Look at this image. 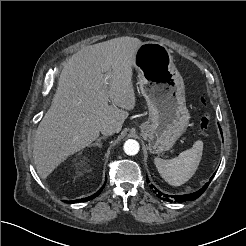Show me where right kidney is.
<instances>
[{
	"label": "right kidney",
	"mask_w": 246,
	"mask_h": 246,
	"mask_svg": "<svg viewBox=\"0 0 246 246\" xmlns=\"http://www.w3.org/2000/svg\"><path fill=\"white\" fill-rule=\"evenodd\" d=\"M84 163H85L84 161H81V162H80V165H83Z\"/></svg>",
	"instance_id": "obj_1"
}]
</instances>
